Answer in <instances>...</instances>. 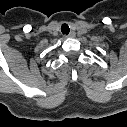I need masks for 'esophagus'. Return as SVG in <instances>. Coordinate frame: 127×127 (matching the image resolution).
I'll return each mask as SVG.
<instances>
[{
	"label": "esophagus",
	"mask_w": 127,
	"mask_h": 127,
	"mask_svg": "<svg viewBox=\"0 0 127 127\" xmlns=\"http://www.w3.org/2000/svg\"><path fill=\"white\" fill-rule=\"evenodd\" d=\"M76 36V33L74 31H71L66 37L73 38Z\"/></svg>",
	"instance_id": "1"
}]
</instances>
